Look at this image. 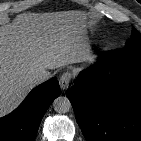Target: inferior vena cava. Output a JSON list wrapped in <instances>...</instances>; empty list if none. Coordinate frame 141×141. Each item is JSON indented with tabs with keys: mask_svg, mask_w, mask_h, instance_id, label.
<instances>
[{
	"mask_svg": "<svg viewBox=\"0 0 141 141\" xmlns=\"http://www.w3.org/2000/svg\"><path fill=\"white\" fill-rule=\"evenodd\" d=\"M34 76L39 81H45L50 78L51 73L45 69H38L35 71Z\"/></svg>",
	"mask_w": 141,
	"mask_h": 141,
	"instance_id": "inferior-vena-cava-1",
	"label": "inferior vena cava"
}]
</instances>
